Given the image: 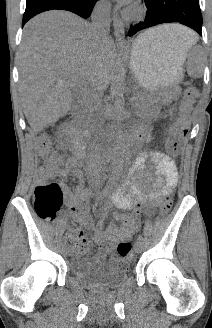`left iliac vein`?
Wrapping results in <instances>:
<instances>
[{"label": "left iliac vein", "mask_w": 212, "mask_h": 328, "mask_svg": "<svg viewBox=\"0 0 212 328\" xmlns=\"http://www.w3.org/2000/svg\"><path fill=\"white\" fill-rule=\"evenodd\" d=\"M135 252L140 253L143 250V243L140 241H137L134 246Z\"/></svg>", "instance_id": "1"}]
</instances>
